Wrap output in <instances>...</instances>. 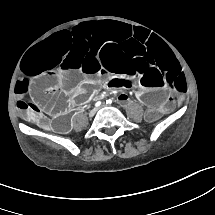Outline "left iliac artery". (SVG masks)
Returning a JSON list of instances; mask_svg holds the SVG:
<instances>
[{"label":"left iliac artery","mask_w":215,"mask_h":215,"mask_svg":"<svg viewBox=\"0 0 215 215\" xmlns=\"http://www.w3.org/2000/svg\"><path fill=\"white\" fill-rule=\"evenodd\" d=\"M106 103H107V104H111V103H112V100L109 99V100L106 101Z\"/></svg>","instance_id":"1"}]
</instances>
